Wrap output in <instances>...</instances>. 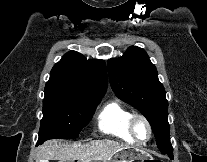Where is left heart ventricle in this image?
Here are the masks:
<instances>
[{"label":"left heart ventricle","mask_w":207,"mask_h":162,"mask_svg":"<svg viewBox=\"0 0 207 162\" xmlns=\"http://www.w3.org/2000/svg\"><path fill=\"white\" fill-rule=\"evenodd\" d=\"M135 134L140 140L146 139L148 135L147 127L142 121H137L135 124Z\"/></svg>","instance_id":"b2bd125f"}]
</instances>
